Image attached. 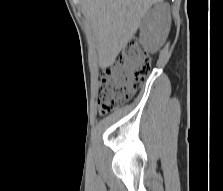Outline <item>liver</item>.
<instances>
[{"instance_id": "6515ba94", "label": "liver", "mask_w": 223, "mask_h": 191, "mask_svg": "<svg viewBox=\"0 0 223 191\" xmlns=\"http://www.w3.org/2000/svg\"><path fill=\"white\" fill-rule=\"evenodd\" d=\"M163 0H82L83 14L96 37L101 68L114 63L137 32L141 19L154 4Z\"/></svg>"}]
</instances>
